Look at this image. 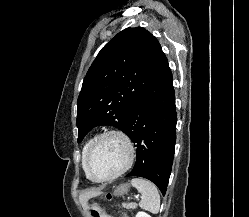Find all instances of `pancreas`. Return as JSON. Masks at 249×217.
<instances>
[{
	"instance_id": "obj_1",
	"label": "pancreas",
	"mask_w": 249,
	"mask_h": 217,
	"mask_svg": "<svg viewBox=\"0 0 249 217\" xmlns=\"http://www.w3.org/2000/svg\"><path fill=\"white\" fill-rule=\"evenodd\" d=\"M122 207L123 208H126V209H135L137 207V204L136 203H123L122 204Z\"/></svg>"
}]
</instances>
